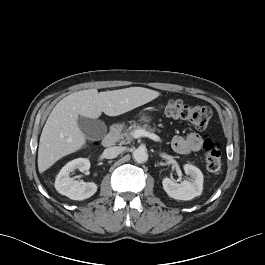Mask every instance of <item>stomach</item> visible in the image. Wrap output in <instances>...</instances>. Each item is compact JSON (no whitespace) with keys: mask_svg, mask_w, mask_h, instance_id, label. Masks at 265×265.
I'll list each match as a JSON object with an SVG mask.
<instances>
[{"mask_svg":"<svg viewBox=\"0 0 265 265\" xmlns=\"http://www.w3.org/2000/svg\"><path fill=\"white\" fill-rule=\"evenodd\" d=\"M140 121L144 122V123H149L151 121L150 116H148L147 114H143L140 117Z\"/></svg>","mask_w":265,"mask_h":265,"instance_id":"stomach-1","label":"stomach"}]
</instances>
